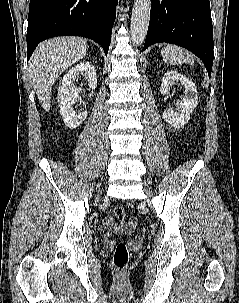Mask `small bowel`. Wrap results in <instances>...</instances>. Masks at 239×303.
Masks as SVG:
<instances>
[{
    "label": "small bowel",
    "mask_w": 239,
    "mask_h": 303,
    "mask_svg": "<svg viewBox=\"0 0 239 303\" xmlns=\"http://www.w3.org/2000/svg\"><path fill=\"white\" fill-rule=\"evenodd\" d=\"M102 221H103L104 226L109 229L117 228L115 222L110 217H105V218H103ZM136 224H137V219L135 217L131 218V220L129 222V227L134 228L136 226Z\"/></svg>",
    "instance_id": "obj_1"
}]
</instances>
